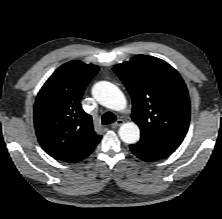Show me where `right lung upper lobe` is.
I'll return each mask as SVG.
<instances>
[{
  "mask_svg": "<svg viewBox=\"0 0 222 219\" xmlns=\"http://www.w3.org/2000/svg\"><path fill=\"white\" fill-rule=\"evenodd\" d=\"M98 71L96 65L70 61L60 66L39 91L34 105L35 130L40 145L51 157L79 162L102 138L80 104L86 86Z\"/></svg>",
  "mask_w": 222,
  "mask_h": 219,
  "instance_id": "1",
  "label": "right lung upper lobe"
}]
</instances>
